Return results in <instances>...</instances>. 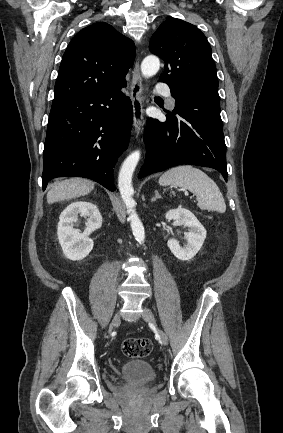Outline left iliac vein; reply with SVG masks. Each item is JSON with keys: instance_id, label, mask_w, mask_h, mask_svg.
Returning <instances> with one entry per match:
<instances>
[{"instance_id": "1", "label": "left iliac vein", "mask_w": 283, "mask_h": 433, "mask_svg": "<svg viewBox=\"0 0 283 433\" xmlns=\"http://www.w3.org/2000/svg\"><path fill=\"white\" fill-rule=\"evenodd\" d=\"M142 316L146 322H148L152 325H156L154 315L149 308L143 307ZM157 333L159 335V339H160L161 344L164 346L168 345V336L166 335V333L164 331H162L161 329H157Z\"/></svg>"}]
</instances>
